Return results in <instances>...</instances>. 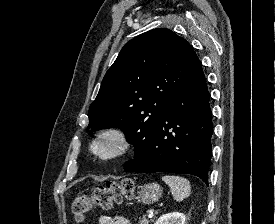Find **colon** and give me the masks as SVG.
<instances>
[{"label":"colon","mask_w":275,"mask_h":224,"mask_svg":"<svg viewBox=\"0 0 275 224\" xmlns=\"http://www.w3.org/2000/svg\"><path fill=\"white\" fill-rule=\"evenodd\" d=\"M134 190V183L129 179L108 182L105 186L97 187L91 195H77L72 203V212L76 219L83 220L94 208L108 210L114 204L131 199Z\"/></svg>","instance_id":"1"}]
</instances>
